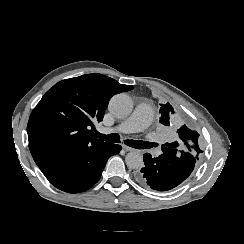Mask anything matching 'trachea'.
<instances>
[{
  "label": "trachea",
  "mask_w": 244,
  "mask_h": 244,
  "mask_svg": "<svg viewBox=\"0 0 244 244\" xmlns=\"http://www.w3.org/2000/svg\"><path fill=\"white\" fill-rule=\"evenodd\" d=\"M96 136L100 138L101 140L111 142V143H117L120 142V136L118 133H112L109 135H104L99 132L96 133ZM125 144L128 146H131L136 149H145V148H151L153 147V143L145 142V141H136V140H126Z\"/></svg>",
  "instance_id": "3493384b"
}]
</instances>
